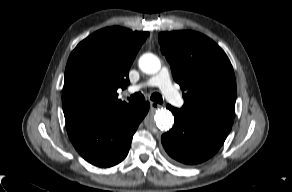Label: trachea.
Instances as JSON below:
<instances>
[{
    "mask_svg": "<svg viewBox=\"0 0 292 192\" xmlns=\"http://www.w3.org/2000/svg\"><path fill=\"white\" fill-rule=\"evenodd\" d=\"M128 100L131 103H139V102H143L145 100V97L142 93H135ZM151 100L157 103L163 102L162 96L159 93H153L151 95Z\"/></svg>",
    "mask_w": 292,
    "mask_h": 192,
    "instance_id": "trachea-1",
    "label": "trachea"
}]
</instances>
